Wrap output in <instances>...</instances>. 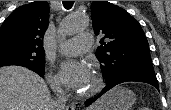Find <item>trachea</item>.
I'll use <instances>...</instances> for the list:
<instances>
[{
    "label": "trachea",
    "mask_w": 171,
    "mask_h": 110,
    "mask_svg": "<svg viewBox=\"0 0 171 110\" xmlns=\"http://www.w3.org/2000/svg\"><path fill=\"white\" fill-rule=\"evenodd\" d=\"M74 4V1H63V6L66 9H71Z\"/></svg>",
    "instance_id": "trachea-1"
}]
</instances>
